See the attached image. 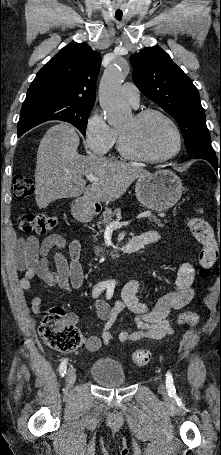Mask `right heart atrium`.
Returning a JSON list of instances; mask_svg holds the SVG:
<instances>
[{"label":"right heart atrium","instance_id":"right-heart-atrium-1","mask_svg":"<svg viewBox=\"0 0 221 455\" xmlns=\"http://www.w3.org/2000/svg\"><path fill=\"white\" fill-rule=\"evenodd\" d=\"M87 149L97 155L107 154L115 143L116 130L108 125L99 112H92L85 123Z\"/></svg>","mask_w":221,"mask_h":455}]
</instances>
